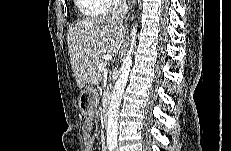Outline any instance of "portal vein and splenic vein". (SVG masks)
Returning <instances> with one entry per match:
<instances>
[{
	"instance_id": "portal-vein-and-splenic-vein-1",
	"label": "portal vein and splenic vein",
	"mask_w": 231,
	"mask_h": 151,
	"mask_svg": "<svg viewBox=\"0 0 231 151\" xmlns=\"http://www.w3.org/2000/svg\"><path fill=\"white\" fill-rule=\"evenodd\" d=\"M105 67H106V65L103 62L100 63L99 66H98V68H99L100 71H103L105 69Z\"/></svg>"
}]
</instances>
